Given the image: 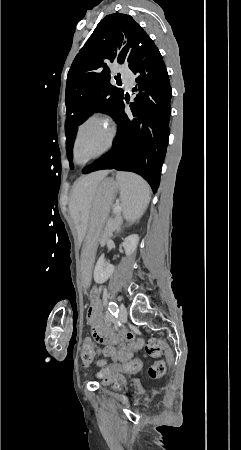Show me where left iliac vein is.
<instances>
[{"instance_id": "obj_1", "label": "left iliac vein", "mask_w": 241, "mask_h": 450, "mask_svg": "<svg viewBox=\"0 0 241 450\" xmlns=\"http://www.w3.org/2000/svg\"><path fill=\"white\" fill-rule=\"evenodd\" d=\"M127 319V310L125 305L121 304L119 307V322H125Z\"/></svg>"}]
</instances>
